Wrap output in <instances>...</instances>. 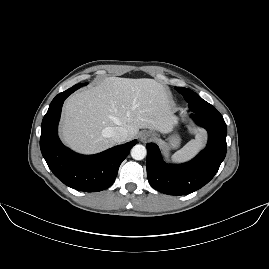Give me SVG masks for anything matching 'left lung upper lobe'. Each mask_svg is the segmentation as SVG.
Returning <instances> with one entry per match:
<instances>
[{
    "mask_svg": "<svg viewBox=\"0 0 269 269\" xmlns=\"http://www.w3.org/2000/svg\"><path fill=\"white\" fill-rule=\"evenodd\" d=\"M176 90L183 95L189 104L191 111H213L216 110L211 104L203 100L199 95L190 89L177 87Z\"/></svg>",
    "mask_w": 269,
    "mask_h": 269,
    "instance_id": "1",
    "label": "left lung upper lobe"
}]
</instances>
